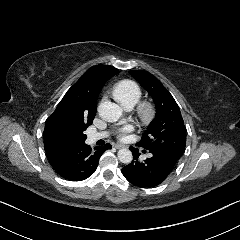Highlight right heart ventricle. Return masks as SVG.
Returning a JSON list of instances; mask_svg holds the SVG:
<instances>
[{"mask_svg": "<svg viewBox=\"0 0 240 240\" xmlns=\"http://www.w3.org/2000/svg\"><path fill=\"white\" fill-rule=\"evenodd\" d=\"M112 94L120 105L127 109L132 108L139 102L142 91L137 83L133 81H124L113 88Z\"/></svg>", "mask_w": 240, "mask_h": 240, "instance_id": "right-heart-ventricle-1", "label": "right heart ventricle"}]
</instances>
